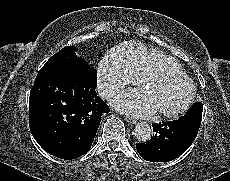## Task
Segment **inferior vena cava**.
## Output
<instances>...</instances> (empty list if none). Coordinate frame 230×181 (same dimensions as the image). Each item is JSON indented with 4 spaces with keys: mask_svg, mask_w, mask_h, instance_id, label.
<instances>
[{
    "mask_svg": "<svg viewBox=\"0 0 230 181\" xmlns=\"http://www.w3.org/2000/svg\"><path fill=\"white\" fill-rule=\"evenodd\" d=\"M113 92V87L108 82L99 81L97 84V93L105 98Z\"/></svg>",
    "mask_w": 230,
    "mask_h": 181,
    "instance_id": "602c4592",
    "label": "inferior vena cava"
}]
</instances>
